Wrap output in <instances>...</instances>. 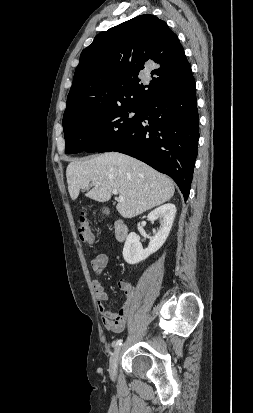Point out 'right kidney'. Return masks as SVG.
Returning <instances> with one entry per match:
<instances>
[{
    "label": "right kidney",
    "instance_id": "1",
    "mask_svg": "<svg viewBox=\"0 0 253 413\" xmlns=\"http://www.w3.org/2000/svg\"><path fill=\"white\" fill-rule=\"evenodd\" d=\"M176 215V207L172 203L164 204L148 214V220L155 221L157 219H161V226L160 229L156 232L154 230V237L150 241L148 247L143 249L139 237L135 232H131L124 244L123 248V258L128 264H137L146 258H148L151 254L155 253L157 250L161 248V246L165 243L169 232L172 228L174 218Z\"/></svg>",
    "mask_w": 253,
    "mask_h": 413
}]
</instances>
